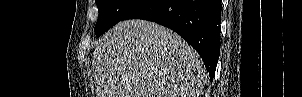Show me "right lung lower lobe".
<instances>
[{"mask_svg":"<svg viewBox=\"0 0 302 97\" xmlns=\"http://www.w3.org/2000/svg\"><path fill=\"white\" fill-rule=\"evenodd\" d=\"M221 0H141L123 20L144 19L168 27L201 56L211 81L220 52Z\"/></svg>","mask_w":302,"mask_h":97,"instance_id":"1","label":"right lung lower lobe"}]
</instances>
